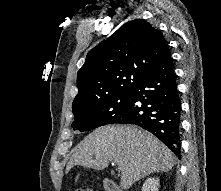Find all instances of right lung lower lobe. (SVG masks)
Listing matches in <instances>:
<instances>
[{"instance_id": "right-lung-lower-lobe-1", "label": "right lung lower lobe", "mask_w": 221, "mask_h": 191, "mask_svg": "<svg viewBox=\"0 0 221 191\" xmlns=\"http://www.w3.org/2000/svg\"><path fill=\"white\" fill-rule=\"evenodd\" d=\"M132 92L129 109L117 123L138 125L179 154L181 102L171 54L151 69Z\"/></svg>"}]
</instances>
